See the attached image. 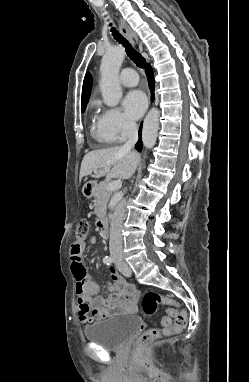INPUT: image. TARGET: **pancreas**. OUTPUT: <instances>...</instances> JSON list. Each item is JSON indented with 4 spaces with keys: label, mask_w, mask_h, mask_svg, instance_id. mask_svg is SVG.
Segmentation results:
<instances>
[{
    "label": "pancreas",
    "mask_w": 249,
    "mask_h": 382,
    "mask_svg": "<svg viewBox=\"0 0 249 382\" xmlns=\"http://www.w3.org/2000/svg\"><path fill=\"white\" fill-rule=\"evenodd\" d=\"M112 195V191L107 189V183L101 182L97 185L94 193V212L98 218H102L106 214L107 203Z\"/></svg>",
    "instance_id": "cf45deb5"
}]
</instances>
